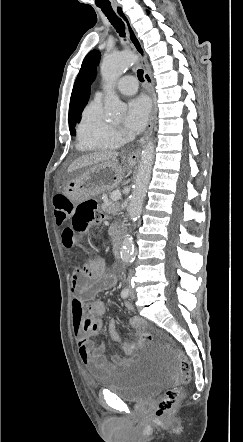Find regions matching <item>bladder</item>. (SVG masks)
<instances>
[{
    "label": "bladder",
    "mask_w": 243,
    "mask_h": 442,
    "mask_svg": "<svg viewBox=\"0 0 243 442\" xmlns=\"http://www.w3.org/2000/svg\"><path fill=\"white\" fill-rule=\"evenodd\" d=\"M175 371V361L155 354L149 359H133L96 383L125 401L139 402L158 394L166 382L175 378Z\"/></svg>",
    "instance_id": "obj_1"
}]
</instances>
